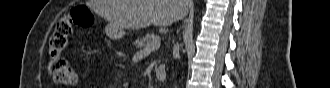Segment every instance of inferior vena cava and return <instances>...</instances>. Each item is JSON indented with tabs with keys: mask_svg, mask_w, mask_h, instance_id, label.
Segmentation results:
<instances>
[{
	"mask_svg": "<svg viewBox=\"0 0 330 88\" xmlns=\"http://www.w3.org/2000/svg\"><path fill=\"white\" fill-rule=\"evenodd\" d=\"M178 50V45H175L174 46V51H177Z\"/></svg>",
	"mask_w": 330,
	"mask_h": 88,
	"instance_id": "1",
	"label": "inferior vena cava"
}]
</instances>
